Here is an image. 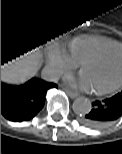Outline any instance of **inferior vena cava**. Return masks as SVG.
<instances>
[{"mask_svg":"<svg viewBox=\"0 0 122 154\" xmlns=\"http://www.w3.org/2000/svg\"><path fill=\"white\" fill-rule=\"evenodd\" d=\"M41 77L46 81L58 80L57 72L51 68L44 67L41 72Z\"/></svg>","mask_w":122,"mask_h":154,"instance_id":"obj_1","label":"inferior vena cava"}]
</instances>
